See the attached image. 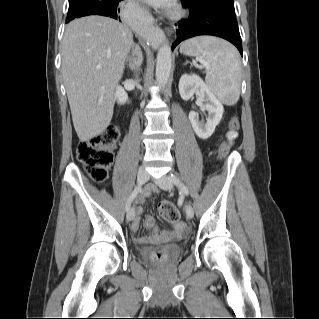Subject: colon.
I'll return each mask as SVG.
<instances>
[{
	"mask_svg": "<svg viewBox=\"0 0 319 319\" xmlns=\"http://www.w3.org/2000/svg\"><path fill=\"white\" fill-rule=\"evenodd\" d=\"M240 128L239 120L232 117L229 121V131L226 139L219 148V155L223 156L229 149L230 143L236 138ZM119 138V129L116 126L109 125L106 129L90 138L82 141L77 147V157L83 163L87 174L98 183L104 182L108 175V168L114 159V149ZM159 215L168 221H177L179 219V209L173 201H166L157 206ZM167 260V255L161 251H155L152 254V261L163 263Z\"/></svg>",
	"mask_w": 319,
	"mask_h": 319,
	"instance_id": "1",
	"label": "colon"
}]
</instances>
